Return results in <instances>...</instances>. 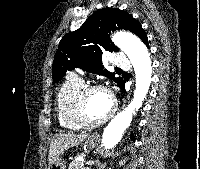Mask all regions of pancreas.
<instances>
[{
    "label": "pancreas",
    "instance_id": "pancreas-1",
    "mask_svg": "<svg viewBox=\"0 0 200 169\" xmlns=\"http://www.w3.org/2000/svg\"><path fill=\"white\" fill-rule=\"evenodd\" d=\"M69 169H90V168L85 167V163L83 161H80L78 159H74L70 163Z\"/></svg>",
    "mask_w": 200,
    "mask_h": 169
}]
</instances>
